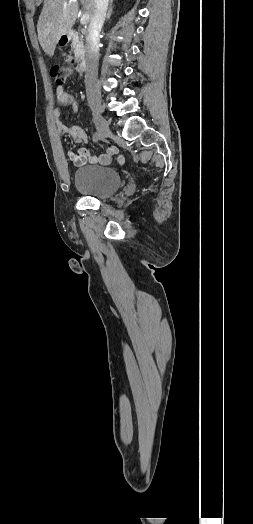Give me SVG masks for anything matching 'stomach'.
<instances>
[{
	"label": "stomach",
	"mask_w": 253,
	"mask_h": 524,
	"mask_svg": "<svg viewBox=\"0 0 253 524\" xmlns=\"http://www.w3.org/2000/svg\"><path fill=\"white\" fill-rule=\"evenodd\" d=\"M65 36V37H64ZM70 38H69V35H63L59 38L58 40V44L61 42L60 45H67V43L69 42Z\"/></svg>",
	"instance_id": "1"
}]
</instances>
